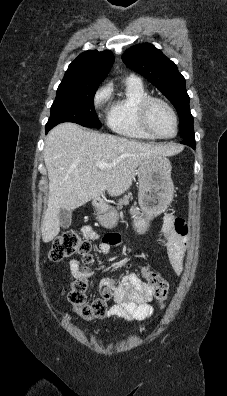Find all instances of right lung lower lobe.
<instances>
[{
	"instance_id": "1",
	"label": "right lung lower lobe",
	"mask_w": 227,
	"mask_h": 396,
	"mask_svg": "<svg viewBox=\"0 0 227 396\" xmlns=\"http://www.w3.org/2000/svg\"><path fill=\"white\" fill-rule=\"evenodd\" d=\"M54 126H47L46 125V129H45V131H46V133L50 130V129H52Z\"/></svg>"
}]
</instances>
